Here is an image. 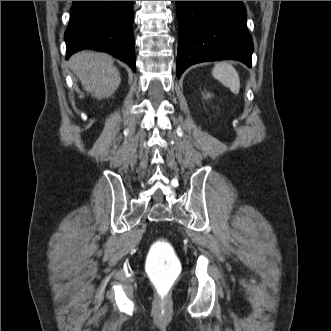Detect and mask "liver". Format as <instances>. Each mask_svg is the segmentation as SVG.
Listing matches in <instances>:
<instances>
[{
    "instance_id": "obj_1",
    "label": "liver",
    "mask_w": 331,
    "mask_h": 331,
    "mask_svg": "<svg viewBox=\"0 0 331 331\" xmlns=\"http://www.w3.org/2000/svg\"><path fill=\"white\" fill-rule=\"evenodd\" d=\"M69 65L84 90L98 99L110 97L121 83L119 70L105 53L80 51L71 56Z\"/></svg>"
}]
</instances>
